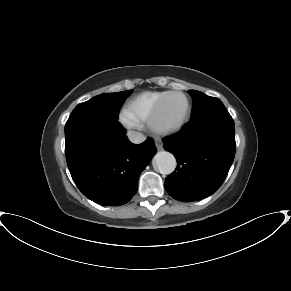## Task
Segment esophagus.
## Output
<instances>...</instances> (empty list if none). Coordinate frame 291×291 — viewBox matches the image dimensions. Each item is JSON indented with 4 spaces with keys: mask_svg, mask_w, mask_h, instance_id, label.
Listing matches in <instances>:
<instances>
[{
    "mask_svg": "<svg viewBox=\"0 0 291 291\" xmlns=\"http://www.w3.org/2000/svg\"><path fill=\"white\" fill-rule=\"evenodd\" d=\"M155 146H156V148H157L158 150H162V149H163V145H162L161 141H159V140H157V141L155 142Z\"/></svg>",
    "mask_w": 291,
    "mask_h": 291,
    "instance_id": "34e87169",
    "label": "esophagus"
}]
</instances>
